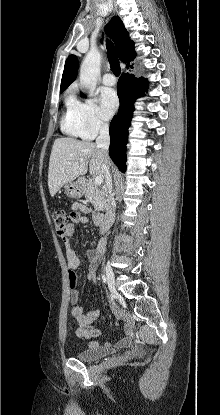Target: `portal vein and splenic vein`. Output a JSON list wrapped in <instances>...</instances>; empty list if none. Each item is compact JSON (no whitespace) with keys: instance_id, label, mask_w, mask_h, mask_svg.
I'll use <instances>...</instances> for the list:
<instances>
[{"instance_id":"1","label":"portal vein and splenic vein","mask_w":220,"mask_h":415,"mask_svg":"<svg viewBox=\"0 0 220 415\" xmlns=\"http://www.w3.org/2000/svg\"><path fill=\"white\" fill-rule=\"evenodd\" d=\"M94 183L96 186H100L103 183V178L101 176H96L94 178Z\"/></svg>"}]
</instances>
